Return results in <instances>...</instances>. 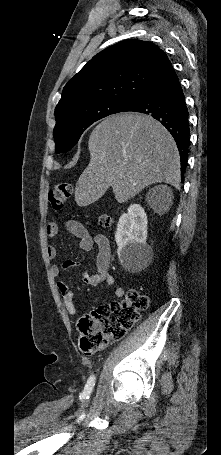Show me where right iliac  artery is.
Wrapping results in <instances>:
<instances>
[{
	"instance_id": "82829eb1",
	"label": "right iliac artery",
	"mask_w": 221,
	"mask_h": 455,
	"mask_svg": "<svg viewBox=\"0 0 221 455\" xmlns=\"http://www.w3.org/2000/svg\"><path fill=\"white\" fill-rule=\"evenodd\" d=\"M94 384H95V376L92 375V376L89 377V379L87 381V384H86L85 389H84V393L90 394V392L92 391V389L94 387Z\"/></svg>"
}]
</instances>
